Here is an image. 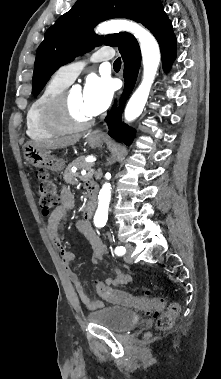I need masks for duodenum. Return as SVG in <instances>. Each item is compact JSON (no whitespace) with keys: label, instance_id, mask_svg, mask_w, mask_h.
<instances>
[{"label":"duodenum","instance_id":"1","mask_svg":"<svg viewBox=\"0 0 221 379\" xmlns=\"http://www.w3.org/2000/svg\"><path fill=\"white\" fill-rule=\"evenodd\" d=\"M87 193L89 196V200L85 207V216L87 218H91L94 214V211L97 206V188L95 184H88L87 186Z\"/></svg>","mask_w":221,"mask_h":379}]
</instances>
